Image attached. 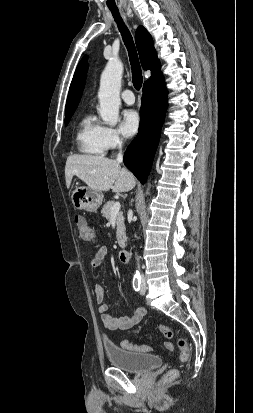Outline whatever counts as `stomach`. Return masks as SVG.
<instances>
[{"label": "stomach", "instance_id": "1", "mask_svg": "<svg viewBox=\"0 0 253 413\" xmlns=\"http://www.w3.org/2000/svg\"><path fill=\"white\" fill-rule=\"evenodd\" d=\"M71 200L75 208L94 212L102 204L103 194L90 187L81 186L73 191Z\"/></svg>", "mask_w": 253, "mask_h": 413}]
</instances>
